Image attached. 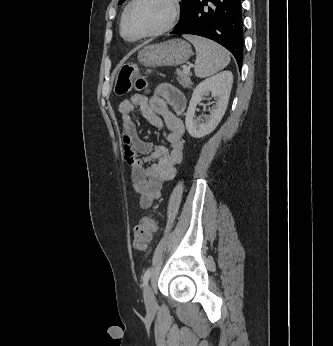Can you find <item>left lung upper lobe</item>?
Listing matches in <instances>:
<instances>
[{
    "mask_svg": "<svg viewBox=\"0 0 333 346\" xmlns=\"http://www.w3.org/2000/svg\"><path fill=\"white\" fill-rule=\"evenodd\" d=\"M125 0H119V4L123 3ZM192 0H182V7H181V18L186 10V8L188 7L189 3Z\"/></svg>",
    "mask_w": 333,
    "mask_h": 346,
    "instance_id": "5c2ea615",
    "label": "left lung upper lobe"
}]
</instances>
